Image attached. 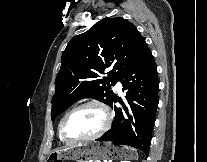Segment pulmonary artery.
Wrapping results in <instances>:
<instances>
[{"label":"pulmonary artery","mask_w":207,"mask_h":162,"mask_svg":"<svg viewBox=\"0 0 207 162\" xmlns=\"http://www.w3.org/2000/svg\"><path fill=\"white\" fill-rule=\"evenodd\" d=\"M115 88L118 92H122L123 86L121 82H117Z\"/></svg>","instance_id":"1"}]
</instances>
